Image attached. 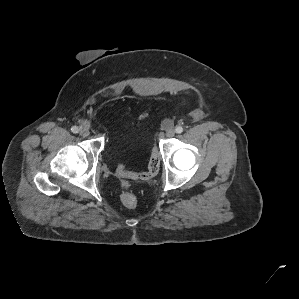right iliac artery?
I'll return each instance as SVG.
<instances>
[{"label":"right iliac artery","mask_w":299,"mask_h":299,"mask_svg":"<svg viewBox=\"0 0 299 299\" xmlns=\"http://www.w3.org/2000/svg\"><path fill=\"white\" fill-rule=\"evenodd\" d=\"M71 131H72L73 133H78V132H79V128H78L77 126H73V127L71 128Z\"/></svg>","instance_id":"82829eb1"}]
</instances>
